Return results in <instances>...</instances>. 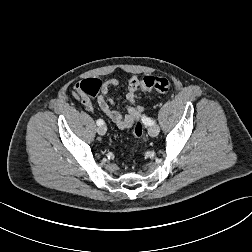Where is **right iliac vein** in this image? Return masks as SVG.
I'll return each instance as SVG.
<instances>
[{"mask_svg":"<svg viewBox=\"0 0 252 252\" xmlns=\"http://www.w3.org/2000/svg\"><path fill=\"white\" fill-rule=\"evenodd\" d=\"M106 130H107V128H106L105 125H101V126H99V127L97 128V132H98V134H100V135H104V134L106 133Z\"/></svg>","mask_w":252,"mask_h":252,"instance_id":"obj_1","label":"right iliac vein"}]
</instances>
